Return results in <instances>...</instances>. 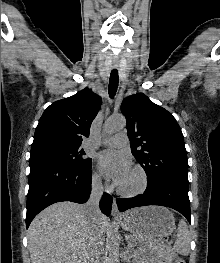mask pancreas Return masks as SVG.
I'll return each mask as SVG.
<instances>
[{"instance_id": "1", "label": "pancreas", "mask_w": 220, "mask_h": 263, "mask_svg": "<svg viewBox=\"0 0 220 263\" xmlns=\"http://www.w3.org/2000/svg\"><path fill=\"white\" fill-rule=\"evenodd\" d=\"M153 249L156 251L157 255L166 261V263H171L175 254L172 252L170 246L163 244L162 242L155 241L152 243Z\"/></svg>"}]
</instances>
